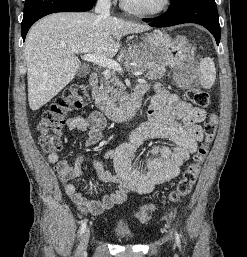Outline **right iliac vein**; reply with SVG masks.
<instances>
[{"label":"right iliac vein","instance_id":"63e3f726","mask_svg":"<svg viewBox=\"0 0 247 257\" xmlns=\"http://www.w3.org/2000/svg\"><path fill=\"white\" fill-rule=\"evenodd\" d=\"M89 239H90V229H87L84 232V234L80 240V244L77 249L76 257H84L85 256L86 250L88 247V243H89Z\"/></svg>","mask_w":247,"mask_h":257}]
</instances>
